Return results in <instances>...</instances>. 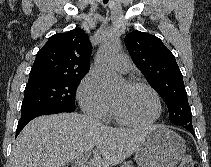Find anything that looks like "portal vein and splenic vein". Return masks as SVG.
Masks as SVG:
<instances>
[{"label":"portal vein and splenic vein","instance_id":"18ae733b","mask_svg":"<svg viewBox=\"0 0 211 167\" xmlns=\"http://www.w3.org/2000/svg\"><path fill=\"white\" fill-rule=\"evenodd\" d=\"M89 156H90L89 154H85V155L79 157L76 160V164L78 165V167H87L86 165H84V163L88 160Z\"/></svg>","mask_w":211,"mask_h":167}]
</instances>
